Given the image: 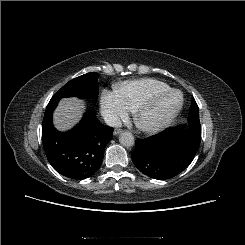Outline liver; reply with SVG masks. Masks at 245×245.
Returning <instances> with one entry per match:
<instances>
[{
    "label": "liver",
    "mask_w": 245,
    "mask_h": 245,
    "mask_svg": "<svg viewBox=\"0 0 245 245\" xmlns=\"http://www.w3.org/2000/svg\"><path fill=\"white\" fill-rule=\"evenodd\" d=\"M84 104L76 98L60 101L54 113V124L58 130L65 131L72 128L81 118Z\"/></svg>",
    "instance_id": "1"
}]
</instances>
